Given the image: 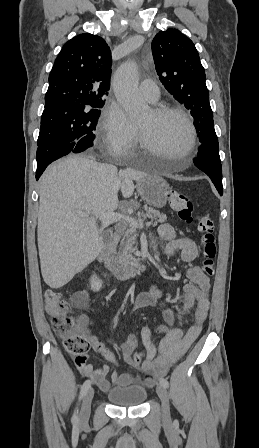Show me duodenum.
Listing matches in <instances>:
<instances>
[{"instance_id": "1", "label": "duodenum", "mask_w": 259, "mask_h": 448, "mask_svg": "<svg viewBox=\"0 0 259 448\" xmlns=\"http://www.w3.org/2000/svg\"><path fill=\"white\" fill-rule=\"evenodd\" d=\"M119 234L112 233L99 254V261L119 280H125L135 276L139 270L138 264H125L116 258L113 254L114 248L118 242Z\"/></svg>"}]
</instances>
